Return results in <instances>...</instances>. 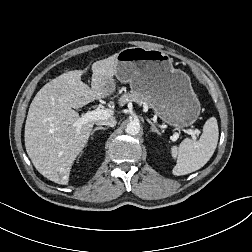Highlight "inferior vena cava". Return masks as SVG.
<instances>
[{"instance_id":"602c4592","label":"inferior vena cava","mask_w":252,"mask_h":252,"mask_svg":"<svg viewBox=\"0 0 252 252\" xmlns=\"http://www.w3.org/2000/svg\"><path fill=\"white\" fill-rule=\"evenodd\" d=\"M116 124H117V121L115 118L102 120L97 123V125H106V126H110V127H114Z\"/></svg>"}]
</instances>
